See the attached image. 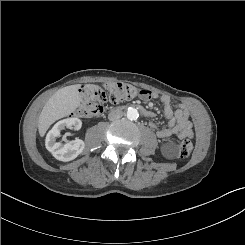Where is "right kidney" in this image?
Masks as SVG:
<instances>
[{"mask_svg": "<svg viewBox=\"0 0 245 245\" xmlns=\"http://www.w3.org/2000/svg\"><path fill=\"white\" fill-rule=\"evenodd\" d=\"M81 126V120L75 117L63 119L57 122L46 136V149L51 152L57 160L68 162L75 159L84 150V141L81 139H75L63 144L61 142H56V139L60 136V132L64 128L67 127L79 130Z\"/></svg>", "mask_w": 245, "mask_h": 245, "instance_id": "right-kidney-1", "label": "right kidney"}]
</instances>
